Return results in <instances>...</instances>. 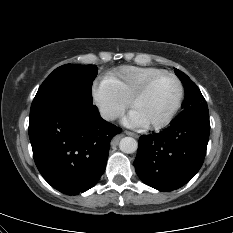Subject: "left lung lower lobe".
I'll list each match as a JSON object with an SVG mask.
<instances>
[{
    "label": "left lung lower lobe",
    "instance_id": "left-lung-lower-lobe-1",
    "mask_svg": "<svg viewBox=\"0 0 233 233\" xmlns=\"http://www.w3.org/2000/svg\"><path fill=\"white\" fill-rule=\"evenodd\" d=\"M209 132L207 103L185 108L164 131L139 138L134 161L137 175L159 191L182 187L203 164Z\"/></svg>",
    "mask_w": 233,
    "mask_h": 233
}]
</instances>
